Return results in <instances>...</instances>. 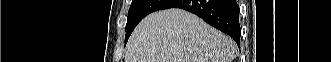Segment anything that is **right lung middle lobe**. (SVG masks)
Instances as JSON below:
<instances>
[{
    "mask_svg": "<svg viewBox=\"0 0 331 62\" xmlns=\"http://www.w3.org/2000/svg\"><path fill=\"white\" fill-rule=\"evenodd\" d=\"M171 0H132L126 24V37L127 42L137 24L148 14L162 10Z\"/></svg>",
    "mask_w": 331,
    "mask_h": 62,
    "instance_id": "obj_1",
    "label": "right lung middle lobe"
}]
</instances>
